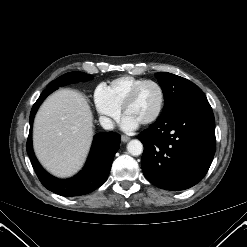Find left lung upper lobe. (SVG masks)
Listing matches in <instances>:
<instances>
[{"instance_id":"5c2ea615","label":"left lung upper lobe","mask_w":247,"mask_h":247,"mask_svg":"<svg viewBox=\"0 0 247 247\" xmlns=\"http://www.w3.org/2000/svg\"><path fill=\"white\" fill-rule=\"evenodd\" d=\"M156 77L165 97V106L161 115L170 112L187 98L204 95L197 85L183 77L167 72H158Z\"/></svg>"}]
</instances>
